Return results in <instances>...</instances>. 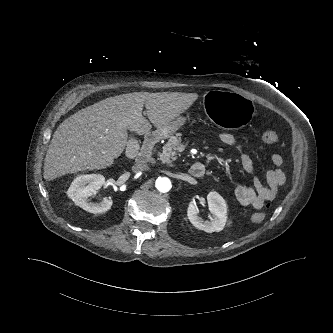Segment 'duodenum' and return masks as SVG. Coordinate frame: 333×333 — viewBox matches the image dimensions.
Listing matches in <instances>:
<instances>
[{"instance_id":"duodenum-1","label":"duodenum","mask_w":333,"mask_h":333,"mask_svg":"<svg viewBox=\"0 0 333 333\" xmlns=\"http://www.w3.org/2000/svg\"><path fill=\"white\" fill-rule=\"evenodd\" d=\"M158 139V133H149L146 136L142 148L136 157V163L138 165H145L152 160L153 151ZM190 173L195 178H201L205 174V166L201 162H196L191 166Z\"/></svg>"}]
</instances>
